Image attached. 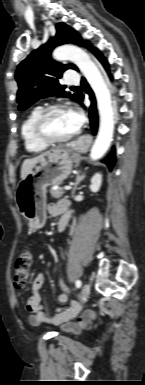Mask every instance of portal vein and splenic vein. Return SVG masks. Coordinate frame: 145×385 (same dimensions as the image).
Segmentation results:
<instances>
[{
	"instance_id": "obj_1",
	"label": "portal vein and splenic vein",
	"mask_w": 145,
	"mask_h": 385,
	"mask_svg": "<svg viewBox=\"0 0 145 385\" xmlns=\"http://www.w3.org/2000/svg\"><path fill=\"white\" fill-rule=\"evenodd\" d=\"M72 187L71 186H65L64 190H70Z\"/></svg>"
}]
</instances>
